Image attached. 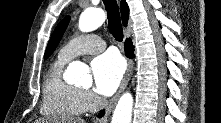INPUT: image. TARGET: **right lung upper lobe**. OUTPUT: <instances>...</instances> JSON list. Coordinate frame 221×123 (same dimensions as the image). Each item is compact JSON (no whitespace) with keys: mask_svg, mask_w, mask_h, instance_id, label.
I'll return each mask as SVG.
<instances>
[{"mask_svg":"<svg viewBox=\"0 0 221 123\" xmlns=\"http://www.w3.org/2000/svg\"><path fill=\"white\" fill-rule=\"evenodd\" d=\"M121 18L124 26H127L128 18H129V8L125 0H121Z\"/></svg>","mask_w":221,"mask_h":123,"instance_id":"cb5924a9","label":"right lung upper lobe"}]
</instances>
